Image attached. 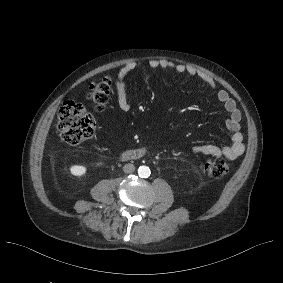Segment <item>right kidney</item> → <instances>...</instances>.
Wrapping results in <instances>:
<instances>
[{
	"mask_svg": "<svg viewBox=\"0 0 283 283\" xmlns=\"http://www.w3.org/2000/svg\"><path fill=\"white\" fill-rule=\"evenodd\" d=\"M86 167L82 165H73L70 167V173L74 176H82L86 173Z\"/></svg>",
	"mask_w": 283,
	"mask_h": 283,
	"instance_id": "1",
	"label": "right kidney"
}]
</instances>
